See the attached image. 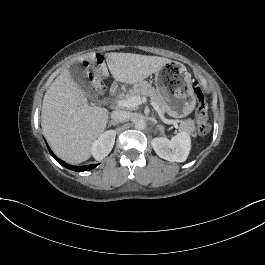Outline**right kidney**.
I'll list each match as a JSON object with an SVG mask.
<instances>
[{
    "label": "right kidney",
    "instance_id": "right-kidney-1",
    "mask_svg": "<svg viewBox=\"0 0 265 265\" xmlns=\"http://www.w3.org/2000/svg\"><path fill=\"white\" fill-rule=\"evenodd\" d=\"M115 136V131H108L95 141L92 150L97 160L104 159L111 152L115 143Z\"/></svg>",
    "mask_w": 265,
    "mask_h": 265
}]
</instances>
